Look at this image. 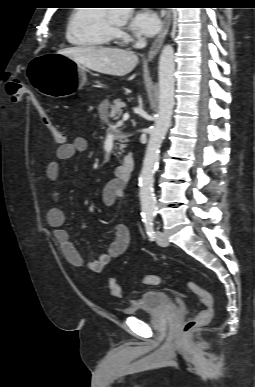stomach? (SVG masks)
Returning <instances> with one entry per match:
<instances>
[{
  "label": "stomach",
  "mask_w": 255,
  "mask_h": 387,
  "mask_svg": "<svg viewBox=\"0 0 255 387\" xmlns=\"http://www.w3.org/2000/svg\"><path fill=\"white\" fill-rule=\"evenodd\" d=\"M54 51V46H41L43 55H35V59L29 61L26 82H32L34 90L40 91V95H50V99H67V93L85 84L86 69Z\"/></svg>",
  "instance_id": "1"
}]
</instances>
